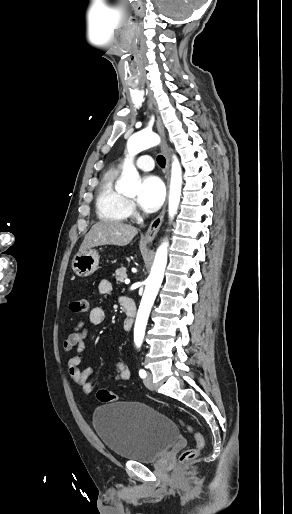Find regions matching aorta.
Returning <instances> with one entry per match:
<instances>
[{
  "instance_id": "obj_1",
  "label": "aorta",
  "mask_w": 292,
  "mask_h": 514,
  "mask_svg": "<svg viewBox=\"0 0 292 514\" xmlns=\"http://www.w3.org/2000/svg\"><path fill=\"white\" fill-rule=\"evenodd\" d=\"M159 142V136L154 134V132H151V130H142V132H138V134H134V136L129 138L127 148L130 160L128 164H126V168L122 172L123 178L120 180V188H122L123 192H126V194H136L138 190L139 174L131 162L133 156H136L139 152H143V150H148V148L158 146ZM181 190L182 170L176 156H174L171 168L169 194L168 212L170 218H173V216L177 214L178 206L180 204ZM167 246V242H164V244L158 248L151 274L146 280V288L142 296L134 328V342L136 346H140L143 342L148 316L164 278V272L167 264Z\"/></svg>"
}]
</instances>
